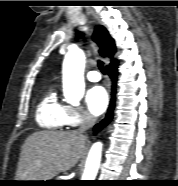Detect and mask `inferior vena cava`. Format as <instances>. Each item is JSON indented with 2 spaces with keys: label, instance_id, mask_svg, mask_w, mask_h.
<instances>
[{
  "label": "inferior vena cava",
  "instance_id": "1",
  "mask_svg": "<svg viewBox=\"0 0 178 186\" xmlns=\"http://www.w3.org/2000/svg\"><path fill=\"white\" fill-rule=\"evenodd\" d=\"M96 119L93 115H91L90 113L86 112L83 118V121L79 127V129L77 130L78 133H84L86 132L88 129H90L94 123H95Z\"/></svg>",
  "mask_w": 178,
  "mask_h": 186
}]
</instances>
